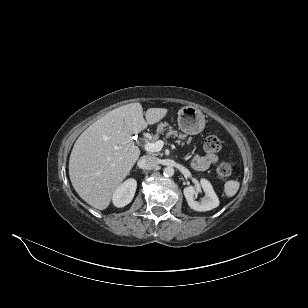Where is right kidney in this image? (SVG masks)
<instances>
[{
	"label": "right kidney",
	"instance_id": "right-kidney-1",
	"mask_svg": "<svg viewBox=\"0 0 308 308\" xmlns=\"http://www.w3.org/2000/svg\"><path fill=\"white\" fill-rule=\"evenodd\" d=\"M136 187H137V182L135 179L126 180L115 191L112 198L113 204L118 208L128 205L134 197Z\"/></svg>",
	"mask_w": 308,
	"mask_h": 308
}]
</instances>
